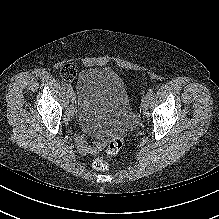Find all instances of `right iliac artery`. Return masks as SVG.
Here are the masks:
<instances>
[{"instance_id":"right-iliac-artery-1","label":"right iliac artery","mask_w":219,"mask_h":219,"mask_svg":"<svg viewBox=\"0 0 219 219\" xmlns=\"http://www.w3.org/2000/svg\"><path fill=\"white\" fill-rule=\"evenodd\" d=\"M65 86H66V88H67L68 91L71 90V86H70L69 84H65Z\"/></svg>"}]
</instances>
